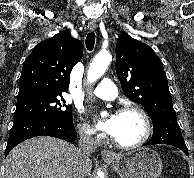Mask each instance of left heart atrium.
Masks as SVG:
<instances>
[{
    "label": "left heart atrium",
    "instance_id": "1",
    "mask_svg": "<svg viewBox=\"0 0 194 178\" xmlns=\"http://www.w3.org/2000/svg\"><path fill=\"white\" fill-rule=\"evenodd\" d=\"M117 125V115H110L105 120H97V127L111 135L114 134Z\"/></svg>",
    "mask_w": 194,
    "mask_h": 178
}]
</instances>
